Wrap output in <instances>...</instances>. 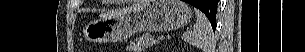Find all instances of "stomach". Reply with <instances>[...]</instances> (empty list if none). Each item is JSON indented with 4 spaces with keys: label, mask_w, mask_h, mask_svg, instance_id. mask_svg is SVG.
I'll return each mask as SVG.
<instances>
[{
    "label": "stomach",
    "mask_w": 305,
    "mask_h": 52,
    "mask_svg": "<svg viewBox=\"0 0 305 52\" xmlns=\"http://www.w3.org/2000/svg\"><path fill=\"white\" fill-rule=\"evenodd\" d=\"M190 7L180 0H148L118 16L90 22L83 30L90 43L122 41L140 31L165 32L186 26Z\"/></svg>",
    "instance_id": "0dacf381"
}]
</instances>
